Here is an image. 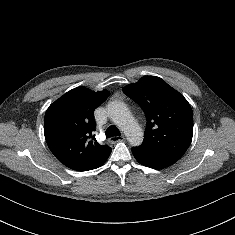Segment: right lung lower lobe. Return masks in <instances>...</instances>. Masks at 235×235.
<instances>
[{"label": "right lung lower lobe", "mask_w": 235, "mask_h": 235, "mask_svg": "<svg viewBox=\"0 0 235 235\" xmlns=\"http://www.w3.org/2000/svg\"><path fill=\"white\" fill-rule=\"evenodd\" d=\"M106 160H107V159H106ZM106 160H105V161H106ZM105 161H104V162H105ZM104 162H103V163H104ZM103 163H102V164H103ZM102 164H101V165H102ZM101 165H100V166H101ZM100 166H99V167H100Z\"/></svg>", "instance_id": "obj_1"}]
</instances>
